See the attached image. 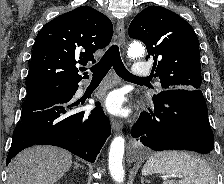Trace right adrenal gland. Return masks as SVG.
<instances>
[{"mask_svg":"<svg viewBox=\"0 0 224 184\" xmlns=\"http://www.w3.org/2000/svg\"><path fill=\"white\" fill-rule=\"evenodd\" d=\"M74 169H77L78 167H81V168H83V166L82 165H80L79 163H77V162H74Z\"/></svg>","mask_w":224,"mask_h":184,"instance_id":"2a0ac1e0","label":"right adrenal gland"}]
</instances>
